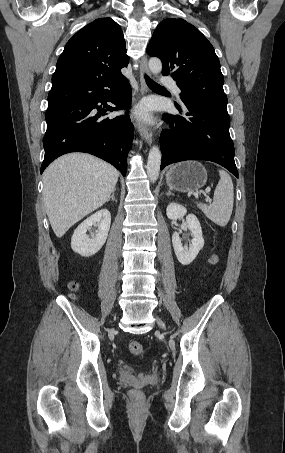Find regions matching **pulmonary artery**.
Returning <instances> with one entry per match:
<instances>
[{"instance_id": "e3ab8cb5", "label": "pulmonary artery", "mask_w": 285, "mask_h": 453, "mask_svg": "<svg viewBox=\"0 0 285 453\" xmlns=\"http://www.w3.org/2000/svg\"><path fill=\"white\" fill-rule=\"evenodd\" d=\"M162 82H163L165 85L169 86L177 96L180 95L181 90H180V88L178 87V85H177L172 79H170V78H163Z\"/></svg>"}]
</instances>
